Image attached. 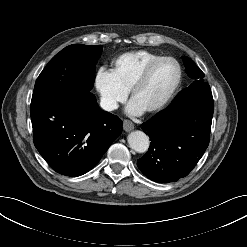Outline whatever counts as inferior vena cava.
I'll list each match as a JSON object with an SVG mask.
<instances>
[{
    "mask_svg": "<svg viewBox=\"0 0 247 247\" xmlns=\"http://www.w3.org/2000/svg\"><path fill=\"white\" fill-rule=\"evenodd\" d=\"M100 106L106 111H112L117 108V103L109 100H101Z\"/></svg>",
    "mask_w": 247,
    "mask_h": 247,
    "instance_id": "obj_1",
    "label": "inferior vena cava"
}]
</instances>
